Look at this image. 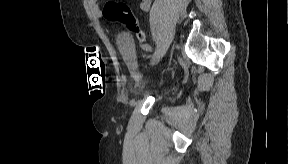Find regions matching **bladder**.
Listing matches in <instances>:
<instances>
[{"instance_id":"bladder-1","label":"bladder","mask_w":288,"mask_h":164,"mask_svg":"<svg viewBox=\"0 0 288 164\" xmlns=\"http://www.w3.org/2000/svg\"><path fill=\"white\" fill-rule=\"evenodd\" d=\"M120 47H121V51H122L126 61L128 62L130 69L132 71H135L137 68V58H136V54H135V50H134L133 46L130 43H128L124 40H121ZM140 92L141 93H151L150 90H146V89H142Z\"/></svg>"}]
</instances>
